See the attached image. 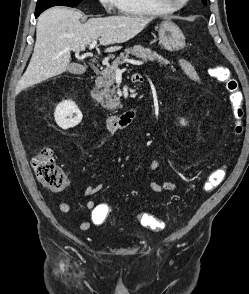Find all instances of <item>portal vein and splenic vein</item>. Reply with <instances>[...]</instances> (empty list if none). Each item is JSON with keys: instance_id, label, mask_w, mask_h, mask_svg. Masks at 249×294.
Segmentation results:
<instances>
[{"instance_id": "18ae733b", "label": "portal vein and splenic vein", "mask_w": 249, "mask_h": 294, "mask_svg": "<svg viewBox=\"0 0 249 294\" xmlns=\"http://www.w3.org/2000/svg\"><path fill=\"white\" fill-rule=\"evenodd\" d=\"M96 44H97V41L95 39L90 44L89 49H93L96 46ZM124 62H128V63L133 64V65H142L143 64L142 61H136V60H124ZM121 73H122V70H120L119 68H116V74H121Z\"/></svg>"}]
</instances>
